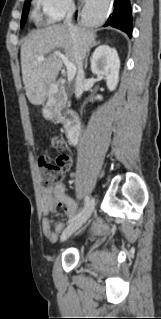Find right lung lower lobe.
I'll list each match as a JSON object with an SVG mask.
<instances>
[{"label": "right lung lower lobe", "instance_id": "obj_1", "mask_svg": "<svg viewBox=\"0 0 161 319\" xmlns=\"http://www.w3.org/2000/svg\"><path fill=\"white\" fill-rule=\"evenodd\" d=\"M113 12L104 26H112L124 31L129 37L132 36V15L129 0H114Z\"/></svg>", "mask_w": 161, "mask_h": 319}]
</instances>
